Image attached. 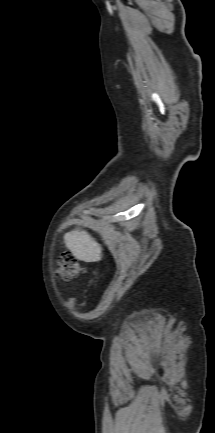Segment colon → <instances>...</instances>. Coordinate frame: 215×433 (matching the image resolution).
I'll list each match as a JSON object with an SVG mask.
<instances>
[{"instance_id":"obj_1","label":"colon","mask_w":215,"mask_h":433,"mask_svg":"<svg viewBox=\"0 0 215 433\" xmlns=\"http://www.w3.org/2000/svg\"><path fill=\"white\" fill-rule=\"evenodd\" d=\"M57 266V275L63 279L75 278L82 272L78 260L70 252H64L59 256Z\"/></svg>"}]
</instances>
